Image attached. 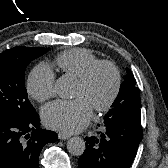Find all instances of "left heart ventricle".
Instances as JSON below:
<instances>
[{"mask_svg": "<svg viewBox=\"0 0 168 168\" xmlns=\"http://www.w3.org/2000/svg\"><path fill=\"white\" fill-rule=\"evenodd\" d=\"M113 84L112 72L106 68H100L89 85L83 86L77 82L74 96L85 98L94 107L106 100L111 92Z\"/></svg>", "mask_w": 168, "mask_h": 168, "instance_id": "left-heart-ventricle-1", "label": "left heart ventricle"}]
</instances>
